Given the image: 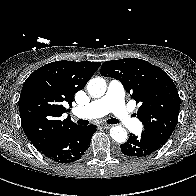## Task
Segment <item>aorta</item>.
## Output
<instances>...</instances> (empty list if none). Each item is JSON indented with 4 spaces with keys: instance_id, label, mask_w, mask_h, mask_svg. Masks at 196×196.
<instances>
[{
    "instance_id": "aorta-1",
    "label": "aorta",
    "mask_w": 196,
    "mask_h": 196,
    "mask_svg": "<svg viewBox=\"0 0 196 196\" xmlns=\"http://www.w3.org/2000/svg\"><path fill=\"white\" fill-rule=\"evenodd\" d=\"M87 91L94 98L102 97L106 92V82L103 78L97 77L89 80ZM110 136L118 143H124L127 140V131L121 126H114L110 129Z\"/></svg>"
}]
</instances>
